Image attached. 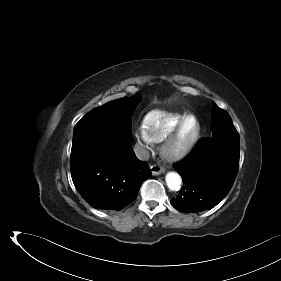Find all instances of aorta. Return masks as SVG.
I'll list each match as a JSON object with an SVG mask.
<instances>
[{
	"mask_svg": "<svg viewBox=\"0 0 281 281\" xmlns=\"http://www.w3.org/2000/svg\"><path fill=\"white\" fill-rule=\"evenodd\" d=\"M166 183L170 190L172 191H178L181 186V176L176 172H169L167 173L166 177Z\"/></svg>",
	"mask_w": 281,
	"mask_h": 281,
	"instance_id": "1",
	"label": "aorta"
}]
</instances>
